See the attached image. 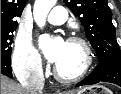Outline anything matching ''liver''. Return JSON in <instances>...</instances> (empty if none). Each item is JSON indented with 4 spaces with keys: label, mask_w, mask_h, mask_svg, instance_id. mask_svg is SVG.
Returning <instances> with one entry per match:
<instances>
[{
    "label": "liver",
    "mask_w": 121,
    "mask_h": 94,
    "mask_svg": "<svg viewBox=\"0 0 121 94\" xmlns=\"http://www.w3.org/2000/svg\"><path fill=\"white\" fill-rule=\"evenodd\" d=\"M73 91H65L58 94H73ZM1 94H27L25 89L18 83L1 75Z\"/></svg>",
    "instance_id": "obj_1"
}]
</instances>
